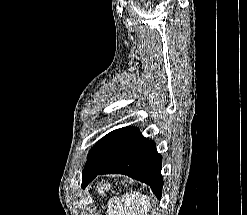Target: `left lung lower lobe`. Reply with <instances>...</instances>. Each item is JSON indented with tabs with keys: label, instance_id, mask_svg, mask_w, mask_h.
I'll list each match as a JSON object with an SVG mask.
<instances>
[{
	"label": "left lung lower lobe",
	"instance_id": "1",
	"mask_svg": "<svg viewBox=\"0 0 247 215\" xmlns=\"http://www.w3.org/2000/svg\"><path fill=\"white\" fill-rule=\"evenodd\" d=\"M161 162L154 142L144 138L137 128L117 129L100 139L90 151L82 173V188L99 174L120 173L148 184L160 199Z\"/></svg>",
	"mask_w": 247,
	"mask_h": 215
}]
</instances>
